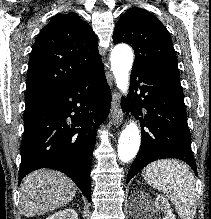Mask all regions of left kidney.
<instances>
[{
	"instance_id": "obj_1",
	"label": "left kidney",
	"mask_w": 211,
	"mask_h": 219,
	"mask_svg": "<svg viewBox=\"0 0 211 219\" xmlns=\"http://www.w3.org/2000/svg\"><path fill=\"white\" fill-rule=\"evenodd\" d=\"M142 200H149V206L147 208L145 219H157V213L163 212V219H176L173 214L170 204L166 198L162 195H158L155 200H151L150 196L144 192H140Z\"/></svg>"
}]
</instances>
